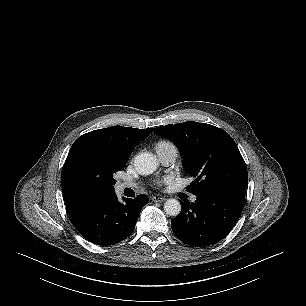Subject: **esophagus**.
<instances>
[{"label":"esophagus","instance_id":"esophagus-1","mask_svg":"<svg viewBox=\"0 0 306 306\" xmlns=\"http://www.w3.org/2000/svg\"><path fill=\"white\" fill-rule=\"evenodd\" d=\"M151 200L153 202H163L166 200V198L163 196L155 195V196H152Z\"/></svg>","mask_w":306,"mask_h":306}]
</instances>
